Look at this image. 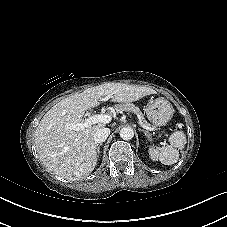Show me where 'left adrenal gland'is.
Returning <instances> with one entry per match:
<instances>
[{"label":"left adrenal gland","mask_w":227,"mask_h":227,"mask_svg":"<svg viewBox=\"0 0 227 227\" xmlns=\"http://www.w3.org/2000/svg\"><path fill=\"white\" fill-rule=\"evenodd\" d=\"M139 130L142 131L149 140L151 139V135H150V133L148 131H145L143 129H139Z\"/></svg>","instance_id":"obj_1"}]
</instances>
